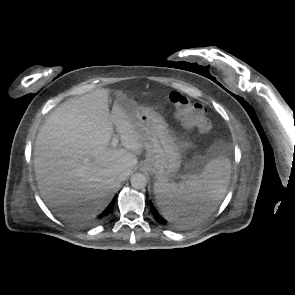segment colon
Returning <instances> with one entry per match:
<instances>
[{
	"label": "colon",
	"instance_id": "5ec220e1",
	"mask_svg": "<svg viewBox=\"0 0 295 295\" xmlns=\"http://www.w3.org/2000/svg\"><path fill=\"white\" fill-rule=\"evenodd\" d=\"M169 100L174 106L176 116L185 126L194 127L201 132H207L211 128L206 109L200 104L192 102L177 91L170 93Z\"/></svg>",
	"mask_w": 295,
	"mask_h": 295
}]
</instances>
